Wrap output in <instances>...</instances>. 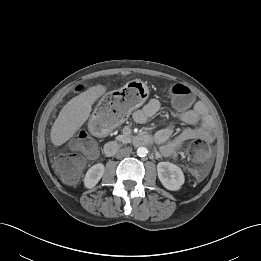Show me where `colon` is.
<instances>
[{
	"label": "colon",
	"mask_w": 261,
	"mask_h": 261,
	"mask_svg": "<svg viewBox=\"0 0 261 261\" xmlns=\"http://www.w3.org/2000/svg\"><path fill=\"white\" fill-rule=\"evenodd\" d=\"M168 93L173 102L180 108H186L192 101L190 89L180 83L171 85ZM123 97L119 94L109 95L105 98V105L110 108L118 107L111 115L101 114V118L93 123L95 127L102 128L105 133L115 123L125 118V109L121 103ZM70 148L73 152H67L58 155L54 160V166L63 181L67 184L75 183L84 167L85 157H93L97 152V142L95 138L87 131H80L71 141ZM189 155L193 161L202 162L209 156L208 146L200 141H194L189 147Z\"/></svg>",
	"instance_id": "1"
}]
</instances>
